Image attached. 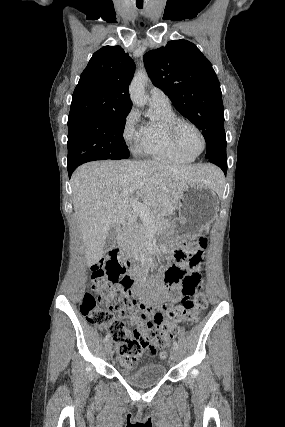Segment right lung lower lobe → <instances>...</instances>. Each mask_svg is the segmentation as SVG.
I'll list each match as a JSON object with an SVG mask.
<instances>
[{
  "instance_id": "obj_1",
  "label": "right lung lower lobe",
  "mask_w": 285,
  "mask_h": 427,
  "mask_svg": "<svg viewBox=\"0 0 285 427\" xmlns=\"http://www.w3.org/2000/svg\"><path fill=\"white\" fill-rule=\"evenodd\" d=\"M74 170H75V169H68L69 177L71 176V174H72V172H73Z\"/></svg>"
}]
</instances>
